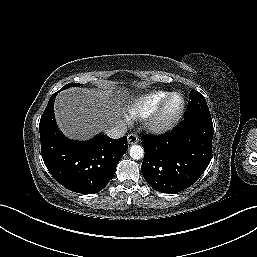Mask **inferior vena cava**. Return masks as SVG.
<instances>
[{
	"label": "inferior vena cava",
	"mask_w": 257,
	"mask_h": 257,
	"mask_svg": "<svg viewBox=\"0 0 257 257\" xmlns=\"http://www.w3.org/2000/svg\"><path fill=\"white\" fill-rule=\"evenodd\" d=\"M126 131H127L126 126L123 123H119L113 127L107 128L105 130V133L110 138L118 139L123 135H125Z\"/></svg>",
	"instance_id": "obj_1"
}]
</instances>
